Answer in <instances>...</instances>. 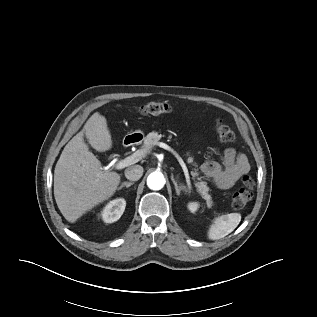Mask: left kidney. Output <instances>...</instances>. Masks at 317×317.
<instances>
[{
    "mask_svg": "<svg viewBox=\"0 0 317 317\" xmlns=\"http://www.w3.org/2000/svg\"><path fill=\"white\" fill-rule=\"evenodd\" d=\"M199 203L198 202H190L188 203V209L190 212L195 213L198 208H199Z\"/></svg>",
    "mask_w": 317,
    "mask_h": 317,
    "instance_id": "5707ae66",
    "label": "left kidney"
}]
</instances>
